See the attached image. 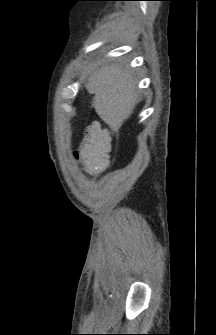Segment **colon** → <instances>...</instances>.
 <instances>
[{"instance_id":"obj_1","label":"colon","mask_w":216,"mask_h":335,"mask_svg":"<svg viewBox=\"0 0 216 335\" xmlns=\"http://www.w3.org/2000/svg\"><path fill=\"white\" fill-rule=\"evenodd\" d=\"M110 142L107 141L106 131L97 123L86 130L79 152L80 174L82 178H97L98 172H109L112 160L110 158Z\"/></svg>"}]
</instances>
